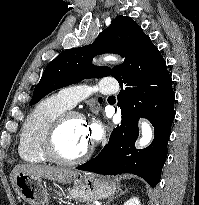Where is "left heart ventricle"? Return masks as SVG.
<instances>
[{"label":"left heart ventricle","mask_w":199,"mask_h":205,"mask_svg":"<svg viewBox=\"0 0 199 205\" xmlns=\"http://www.w3.org/2000/svg\"><path fill=\"white\" fill-rule=\"evenodd\" d=\"M85 127V122L77 118H72L64 124L57 137V149L61 155L75 157L91 144Z\"/></svg>","instance_id":"b2bd125f"}]
</instances>
